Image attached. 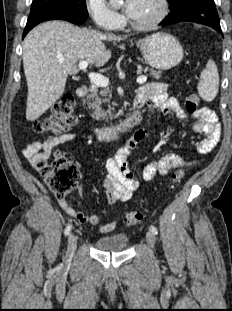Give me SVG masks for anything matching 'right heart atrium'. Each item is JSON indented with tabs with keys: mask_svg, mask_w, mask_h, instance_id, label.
Instances as JSON below:
<instances>
[{
	"mask_svg": "<svg viewBox=\"0 0 232 311\" xmlns=\"http://www.w3.org/2000/svg\"><path fill=\"white\" fill-rule=\"evenodd\" d=\"M86 7L93 21L102 28L115 30L122 24V16L105 0H86Z\"/></svg>",
	"mask_w": 232,
	"mask_h": 311,
	"instance_id": "d8ad5b80",
	"label": "right heart atrium"
}]
</instances>
